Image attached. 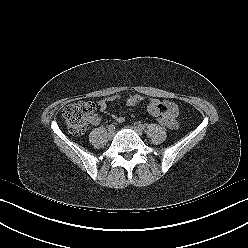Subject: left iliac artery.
I'll return each mask as SVG.
<instances>
[{"label":"left iliac artery","mask_w":248,"mask_h":248,"mask_svg":"<svg viewBox=\"0 0 248 248\" xmlns=\"http://www.w3.org/2000/svg\"><path fill=\"white\" fill-rule=\"evenodd\" d=\"M138 128H139L140 130H145V129H146V126L143 125V124H138Z\"/></svg>","instance_id":"1"}]
</instances>
